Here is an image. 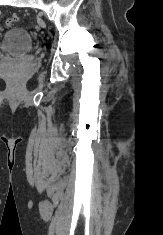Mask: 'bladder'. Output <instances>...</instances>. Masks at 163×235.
<instances>
[{"label": "bladder", "mask_w": 163, "mask_h": 235, "mask_svg": "<svg viewBox=\"0 0 163 235\" xmlns=\"http://www.w3.org/2000/svg\"><path fill=\"white\" fill-rule=\"evenodd\" d=\"M33 50V40L29 32L21 27L6 30L0 37V51L22 56Z\"/></svg>", "instance_id": "31cf9c89"}]
</instances>
